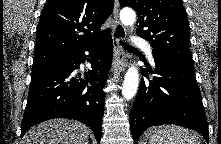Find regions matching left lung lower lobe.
<instances>
[{
	"label": "left lung lower lobe",
	"instance_id": "0a47b994",
	"mask_svg": "<svg viewBox=\"0 0 221 144\" xmlns=\"http://www.w3.org/2000/svg\"><path fill=\"white\" fill-rule=\"evenodd\" d=\"M155 73L149 80L148 71L142 80L130 114L134 143L145 129L161 124H175L199 132L209 141L208 122L193 64L154 56Z\"/></svg>",
	"mask_w": 221,
	"mask_h": 144
}]
</instances>
